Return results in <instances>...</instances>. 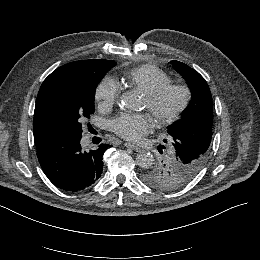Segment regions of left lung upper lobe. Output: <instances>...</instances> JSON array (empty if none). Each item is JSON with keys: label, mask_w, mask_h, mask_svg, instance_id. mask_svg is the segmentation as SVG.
Returning a JSON list of instances; mask_svg holds the SVG:
<instances>
[{"label": "left lung upper lobe", "mask_w": 260, "mask_h": 260, "mask_svg": "<svg viewBox=\"0 0 260 260\" xmlns=\"http://www.w3.org/2000/svg\"><path fill=\"white\" fill-rule=\"evenodd\" d=\"M171 63L187 81L192 98L181 120L168 126L172 151L141 173L145 183L165 191L186 185L206 163L211 150L213 123L212 97L205 79L182 62L173 60Z\"/></svg>", "instance_id": "left-lung-upper-lobe-1"}]
</instances>
